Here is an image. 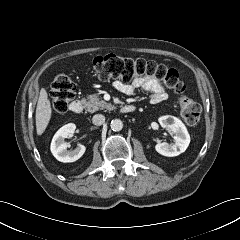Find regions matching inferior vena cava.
<instances>
[{
    "mask_svg": "<svg viewBox=\"0 0 240 240\" xmlns=\"http://www.w3.org/2000/svg\"><path fill=\"white\" fill-rule=\"evenodd\" d=\"M94 125H102L105 123V117L102 114H96L92 118Z\"/></svg>",
    "mask_w": 240,
    "mask_h": 240,
    "instance_id": "obj_1",
    "label": "inferior vena cava"
}]
</instances>
